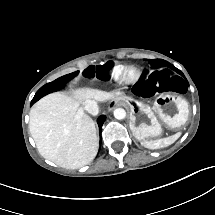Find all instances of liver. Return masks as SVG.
Listing matches in <instances>:
<instances>
[{
	"instance_id": "liver-1",
	"label": "liver",
	"mask_w": 215,
	"mask_h": 215,
	"mask_svg": "<svg viewBox=\"0 0 215 215\" xmlns=\"http://www.w3.org/2000/svg\"><path fill=\"white\" fill-rule=\"evenodd\" d=\"M90 86L40 98L30 109L29 130L39 153L56 165L78 169L97 155L99 141L93 119L82 106L87 101L105 102L123 95Z\"/></svg>"
}]
</instances>
